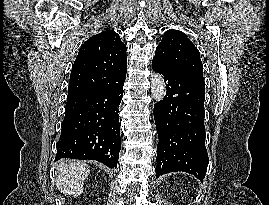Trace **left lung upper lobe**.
Returning <instances> with one entry per match:
<instances>
[{"label": "left lung upper lobe", "mask_w": 269, "mask_h": 205, "mask_svg": "<svg viewBox=\"0 0 269 205\" xmlns=\"http://www.w3.org/2000/svg\"><path fill=\"white\" fill-rule=\"evenodd\" d=\"M153 59L170 71L203 76L199 51L181 31H166Z\"/></svg>", "instance_id": "left-lung-upper-lobe-1"}]
</instances>
